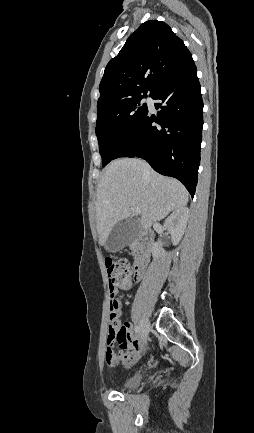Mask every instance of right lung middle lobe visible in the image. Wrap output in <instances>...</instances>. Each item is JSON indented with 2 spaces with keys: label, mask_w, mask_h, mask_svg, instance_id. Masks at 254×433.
I'll list each match as a JSON object with an SVG mask.
<instances>
[{
  "label": "right lung middle lobe",
  "mask_w": 254,
  "mask_h": 433,
  "mask_svg": "<svg viewBox=\"0 0 254 433\" xmlns=\"http://www.w3.org/2000/svg\"><path fill=\"white\" fill-rule=\"evenodd\" d=\"M142 99L121 102L98 111L96 135L103 166H106L147 114Z\"/></svg>",
  "instance_id": "right-lung-middle-lobe-1"
}]
</instances>
